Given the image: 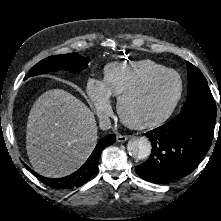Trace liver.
Wrapping results in <instances>:
<instances>
[{
	"label": "liver",
	"mask_w": 221,
	"mask_h": 221,
	"mask_svg": "<svg viewBox=\"0 0 221 221\" xmlns=\"http://www.w3.org/2000/svg\"><path fill=\"white\" fill-rule=\"evenodd\" d=\"M93 112L63 89L43 93L27 121L26 150L33 169L49 178L80 168L97 143Z\"/></svg>",
	"instance_id": "6515ba94"
}]
</instances>
